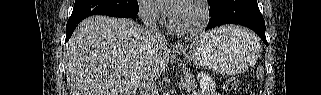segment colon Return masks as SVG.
Masks as SVG:
<instances>
[{"label": "colon", "instance_id": "5ec220e1", "mask_svg": "<svg viewBox=\"0 0 321 95\" xmlns=\"http://www.w3.org/2000/svg\"><path fill=\"white\" fill-rule=\"evenodd\" d=\"M238 84H239V81L237 78L235 77L228 78L223 84V87H222L223 91L225 93H231L237 88Z\"/></svg>", "mask_w": 321, "mask_h": 95}]
</instances>
